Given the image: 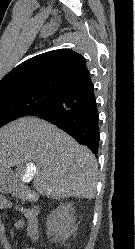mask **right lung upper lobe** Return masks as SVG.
<instances>
[{
  "instance_id": "1",
  "label": "right lung upper lobe",
  "mask_w": 135,
  "mask_h": 249,
  "mask_svg": "<svg viewBox=\"0 0 135 249\" xmlns=\"http://www.w3.org/2000/svg\"><path fill=\"white\" fill-rule=\"evenodd\" d=\"M85 58L60 49L32 57L0 80V96L30 91L64 92L91 83Z\"/></svg>"
}]
</instances>
